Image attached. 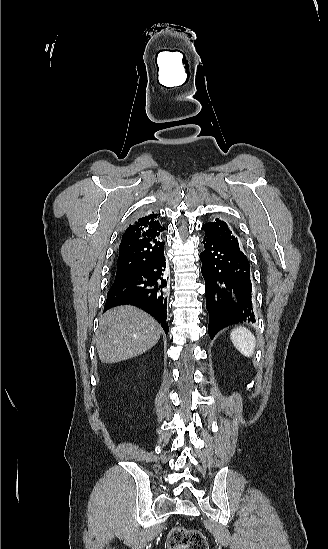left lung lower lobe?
Instances as JSON below:
<instances>
[{
	"mask_svg": "<svg viewBox=\"0 0 328 549\" xmlns=\"http://www.w3.org/2000/svg\"><path fill=\"white\" fill-rule=\"evenodd\" d=\"M200 254L205 280L208 332L213 338L224 327L254 323L253 292L247 257L237 248L205 236Z\"/></svg>",
	"mask_w": 328,
	"mask_h": 549,
	"instance_id": "obj_1",
	"label": "left lung lower lobe"
}]
</instances>
